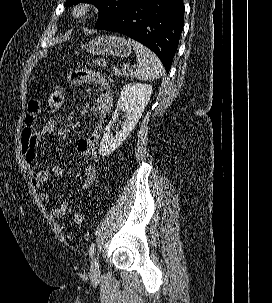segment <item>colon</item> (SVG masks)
<instances>
[{
	"label": "colon",
	"instance_id": "colon-1",
	"mask_svg": "<svg viewBox=\"0 0 272 303\" xmlns=\"http://www.w3.org/2000/svg\"><path fill=\"white\" fill-rule=\"evenodd\" d=\"M94 64L99 69H109L111 71V74L114 77H121L122 76V70L117 66H111L108 63V61L104 58L97 57L94 59ZM64 102V91L62 86L57 85L55 86L48 99L47 103V116L44 120V123L42 125L43 128L48 130H55L57 119H58V113L63 105ZM85 220V215L83 213H75L73 215V221L75 223H82Z\"/></svg>",
	"mask_w": 272,
	"mask_h": 303
}]
</instances>
